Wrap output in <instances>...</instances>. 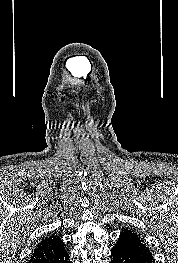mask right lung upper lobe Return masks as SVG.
Segmentation results:
<instances>
[{"label":"right lung upper lobe","instance_id":"right-lung-upper-lobe-1","mask_svg":"<svg viewBox=\"0 0 178 263\" xmlns=\"http://www.w3.org/2000/svg\"><path fill=\"white\" fill-rule=\"evenodd\" d=\"M65 250L58 235H51L41 240L31 254L29 263H46Z\"/></svg>","mask_w":178,"mask_h":263}]
</instances>
